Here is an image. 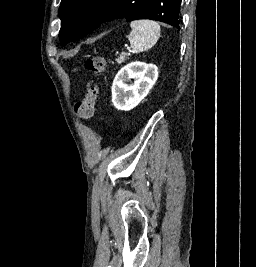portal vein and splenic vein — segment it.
<instances>
[{"label": "portal vein and splenic vein", "instance_id": "18ae733b", "mask_svg": "<svg viewBox=\"0 0 256 267\" xmlns=\"http://www.w3.org/2000/svg\"><path fill=\"white\" fill-rule=\"evenodd\" d=\"M133 52H134V49H133V48H128V49H127V52H126V55H127V56H130L131 53H133Z\"/></svg>", "mask_w": 256, "mask_h": 267}]
</instances>
